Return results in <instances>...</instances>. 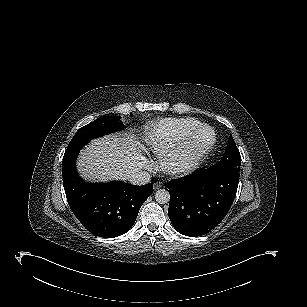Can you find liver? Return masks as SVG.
I'll use <instances>...</instances> for the list:
<instances>
[{
    "label": "liver",
    "instance_id": "liver-1",
    "mask_svg": "<svg viewBox=\"0 0 307 307\" xmlns=\"http://www.w3.org/2000/svg\"><path fill=\"white\" fill-rule=\"evenodd\" d=\"M141 166L136 144L117 135L94 139L77 159L80 177L89 182L127 181Z\"/></svg>",
    "mask_w": 307,
    "mask_h": 307
}]
</instances>
